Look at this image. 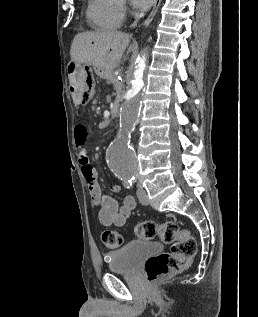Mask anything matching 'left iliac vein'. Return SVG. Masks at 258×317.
<instances>
[{
	"label": "left iliac vein",
	"mask_w": 258,
	"mask_h": 317,
	"mask_svg": "<svg viewBox=\"0 0 258 317\" xmlns=\"http://www.w3.org/2000/svg\"><path fill=\"white\" fill-rule=\"evenodd\" d=\"M136 188H137V196L139 198V201L144 203L145 206H147V204L149 203V198L147 197L145 189L141 188L140 184H137Z\"/></svg>",
	"instance_id": "1"
}]
</instances>
